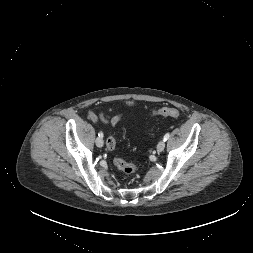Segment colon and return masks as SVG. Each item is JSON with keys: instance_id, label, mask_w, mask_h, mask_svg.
Instances as JSON below:
<instances>
[{"instance_id": "colon-1", "label": "colon", "mask_w": 253, "mask_h": 253, "mask_svg": "<svg viewBox=\"0 0 253 253\" xmlns=\"http://www.w3.org/2000/svg\"><path fill=\"white\" fill-rule=\"evenodd\" d=\"M154 115H162V116H168L177 118L180 116V112L175 108L170 107H163L160 109H157L153 112ZM106 146L109 150H114L116 147V140L114 137L110 136L107 138ZM114 164L115 166L122 171L123 173L127 175H134L138 172V167L132 163L126 162L124 159L120 157L114 158Z\"/></svg>"}]
</instances>
